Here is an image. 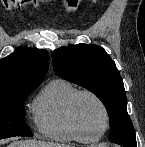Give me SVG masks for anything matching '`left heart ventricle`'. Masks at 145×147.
Returning <instances> with one entry per match:
<instances>
[{
  "instance_id": "1",
  "label": "left heart ventricle",
  "mask_w": 145,
  "mask_h": 147,
  "mask_svg": "<svg viewBox=\"0 0 145 147\" xmlns=\"http://www.w3.org/2000/svg\"><path fill=\"white\" fill-rule=\"evenodd\" d=\"M76 113L83 130L94 135L101 132L105 125L104 113L99 104L90 96H81L77 101Z\"/></svg>"
}]
</instances>
